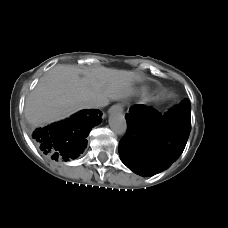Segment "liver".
Listing matches in <instances>:
<instances>
[{
  "label": "liver",
  "instance_id": "6515ba94",
  "mask_svg": "<svg viewBox=\"0 0 228 228\" xmlns=\"http://www.w3.org/2000/svg\"><path fill=\"white\" fill-rule=\"evenodd\" d=\"M139 73L98 67L80 69L75 65H57L38 82L25 104V117L33 126L62 119L84 109L86 101L122 99L133 92Z\"/></svg>",
  "mask_w": 228,
  "mask_h": 228
}]
</instances>
